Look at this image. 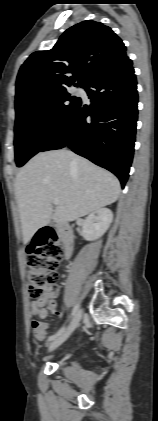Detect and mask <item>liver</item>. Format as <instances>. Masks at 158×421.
Segmentation results:
<instances>
[{
	"mask_svg": "<svg viewBox=\"0 0 158 421\" xmlns=\"http://www.w3.org/2000/svg\"><path fill=\"white\" fill-rule=\"evenodd\" d=\"M119 180L85 158L62 149L36 154L15 180L23 242L53 221L71 222L114 203ZM59 205L53 211L52 203Z\"/></svg>",
	"mask_w": 158,
	"mask_h": 421,
	"instance_id": "liver-1",
	"label": "liver"
}]
</instances>
